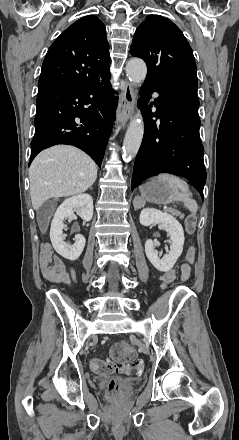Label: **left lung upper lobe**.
Returning <instances> with one entry per match:
<instances>
[{
  "instance_id": "left-lung-upper-lobe-1",
  "label": "left lung upper lobe",
  "mask_w": 239,
  "mask_h": 440,
  "mask_svg": "<svg viewBox=\"0 0 239 440\" xmlns=\"http://www.w3.org/2000/svg\"><path fill=\"white\" fill-rule=\"evenodd\" d=\"M130 53L146 62L145 80L198 84L193 51L181 30L167 18L147 16L135 32Z\"/></svg>"
}]
</instances>
